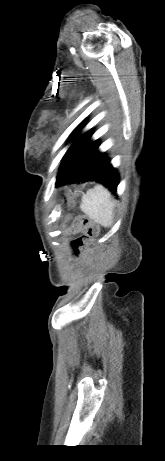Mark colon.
Listing matches in <instances>:
<instances>
[{
  "label": "colon",
  "instance_id": "obj_1",
  "mask_svg": "<svg viewBox=\"0 0 165 461\" xmlns=\"http://www.w3.org/2000/svg\"><path fill=\"white\" fill-rule=\"evenodd\" d=\"M82 220H83L84 223H86V224L88 223V220H87V219L83 218ZM91 230H94V229H91ZM82 244H84V242H81V245H82Z\"/></svg>",
  "mask_w": 165,
  "mask_h": 461
}]
</instances>
